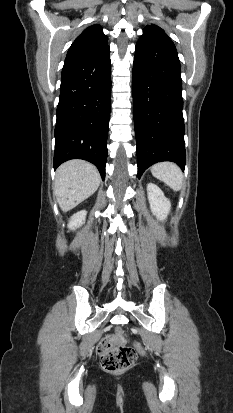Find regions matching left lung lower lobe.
Returning a JSON list of instances; mask_svg holds the SVG:
<instances>
[{"label": "left lung lower lobe", "mask_w": 233, "mask_h": 413, "mask_svg": "<svg viewBox=\"0 0 233 413\" xmlns=\"http://www.w3.org/2000/svg\"><path fill=\"white\" fill-rule=\"evenodd\" d=\"M132 82L138 178L161 161L175 162L184 171L181 70L170 38L154 33L139 39Z\"/></svg>", "instance_id": "1"}]
</instances>
